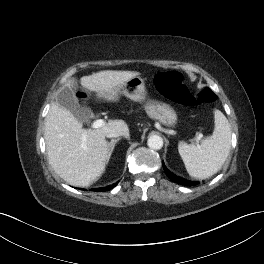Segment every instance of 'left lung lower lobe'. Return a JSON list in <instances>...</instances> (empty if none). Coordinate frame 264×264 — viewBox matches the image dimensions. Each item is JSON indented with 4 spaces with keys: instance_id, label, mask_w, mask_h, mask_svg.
Wrapping results in <instances>:
<instances>
[{
    "instance_id": "0a47b994",
    "label": "left lung lower lobe",
    "mask_w": 264,
    "mask_h": 264,
    "mask_svg": "<svg viewBox=\"0 0 264 264\" xmlns=\"http://www.w3.org/2000/svg\"><path fill=\"white\" fill-rule=\"evenodd\" d=\"M163 168H164V171L166 173V175L173 181V182H176L178 184H181V185H185V186H193V185H196L198 182H195V181H189L187 179H184L182 177H179V176H176L175 174L171 173L164 165L163 163Z\"/></svg>"
}]
</instances>
